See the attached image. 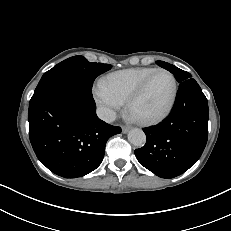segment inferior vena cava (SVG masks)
<instances>
[{
    "mask_svg": "<svg viewBox=\"0 0 231 231\" xmlns=\"http://www.w3.org/2000/svg\"><path fill=\"white\" fill-rule=\"evenodd\" d=\"M97 115L101 120L107 123H111L115 121L116 119L115 111H113L112 109L106 108V107L97 108Z\"/></svg>",
    "mask_w": 231,
    "mask_h": 231,
    "instance_id": "1",
    "label": "inferior vena cava"
}]
</instances>
